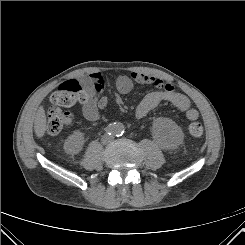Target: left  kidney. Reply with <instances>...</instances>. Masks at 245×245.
<instances>
[{"mask_svg":"<svg viewBox=\"0 0 245 245\" xmlns=\"http://www.w3.org/2000/svg\"><path fill=\"white\" fill-rule=\"evenodd\" d=\"M153 131L156 139L167 149L176 148L183 139L181 128L172 120L159 118L154 122Z\"/></svg>","mask_w":245,"mask_h":245,"instance_id":"1","label":"left kidney"}]
</instances>
